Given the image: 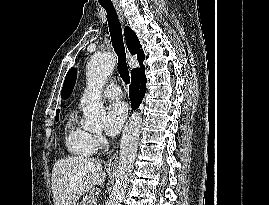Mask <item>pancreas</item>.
Returning <instances> with one entry per match:
<instances>
[{
	"instance_id": "1",
	"label": "pancreas",
	"mask_w": 269,
	"mask_h": 205,
	"mask_svg": "<svg viewBox=\"0 0 269 205\" xmlns=\"http://www.w3.org/2000/svg\"><path fill=\"white\" fill-rule=\"evenodd\" d=\"M85 205L86 203H89V205H97L96 202H97V196H96V191L95 189H92L90 192H89V195L86 196L85 200Z\"/></svg>"
}]
</instances>
